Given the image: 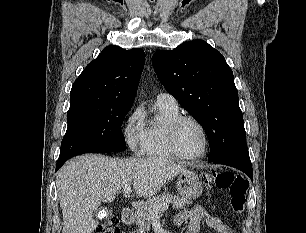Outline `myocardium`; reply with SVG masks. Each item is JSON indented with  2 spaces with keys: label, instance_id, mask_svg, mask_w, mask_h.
<instances>
[{
  "label": "myocardium",
  "instance_id": "1",
  "mask_svg": "<svg viewBox=\"0 0 306 233\" xmlns=\"http://www.w3.org/2000/svg\"><path fill=\"white\" fill-rule=\"evenodd\" d=\"M185 122L194 123L195 125L198 126V128L202 132L203 139H204V147H203V151L198 155H195V156L184 155L183 153H181V151L178 148V145H177L178 130L181 127V125ZM167 142H168V146L172 154L176 158L184 160V161H197L199 159H202L207 155L208 150H209V136H208V132L205 126L202 124L200 120L190 115H180L169 124L168 129H167Z\"/></svg>",
  "mask_w": 306,
  "mask_h": 233
}]
</instances>
